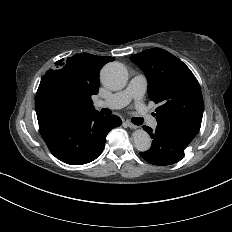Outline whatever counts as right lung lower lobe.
Instances as JSON below:
<instances>
[{"label":"right lung lower lobe","mask_w":232,"mask_h":232,"mask_svg":"<svg viewBox=\"0 0 232 232\" xmlns=\"http://www.w3.org/2000/svg\"><path fill=\"white\" fill-rule=\"evenodd\" d=\"M39 130L51 153L59 160L81 165L103 151L108 132L121 125L115 115L98 111L51 109L37 113Z\"/></svg>","instance_id":"obj_1"}]
</instances>
